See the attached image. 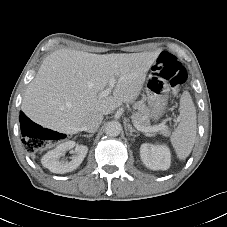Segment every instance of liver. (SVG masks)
I'll use <instances>...</instances> for the list:
<instances>
[{"label": "liver", "mask_w": 227, "mask_h": 227, "mask_svg": "<svg viewBox=\"0 0 227 227\" xmlns=\"http://www.w3.org/2000/svg\"><path fill=\"white\" fill-rule=\"evenodd\" d=\"M157 57L156 52L98 55L57 50L43 60L21 109L43 127L77 134L89 115H108L123 103L133 102ZM111 77L117 79L113 93L101 97Z\"/></svg>", "instance_id": "1"}]
</instances>
